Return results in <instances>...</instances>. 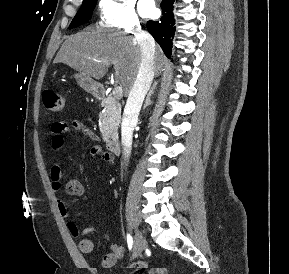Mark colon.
<instances>
[{
    "mask_svg": "<svg viewBox=\"0 0 289 274\" xmlns=\"http://www.w3.org/2000/svg\"><path fill=\"white\" fill-rule=\"evenodd\" d=\"M42 102L45 108L51 112H60L65 108L66 99L65 97L55 91L46 90L42 94ZM145 266L143 262L136 265L138 269H142Z\"/></svg>",
    "mask_w": 289,
    "mask_h": 274,
    "instance_id": "1",
    "label": "colon"
}]
</instances>
